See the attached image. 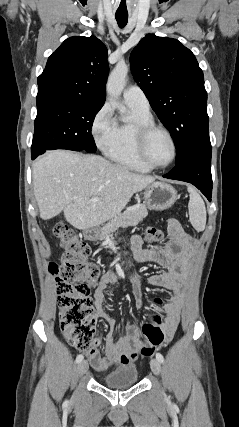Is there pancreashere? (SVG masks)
Listing matches in <instances>:
<instances>
[{"mask_svg": "<svg viewBox=\"0 0 239 427\" xmlns=\"http://www.w3.org/2000/svg\"><path fill=\"white\" fill-rule=\"evenodd\" d=\"M148 215L147 206L139 204L114 217L102 228L103 238L115 232L119 227L135 226Z\"/></svg>", "mask_w": 239, "mask_h": 427, "instance_id": "1", "label": "pancreas"}]
</instances>
